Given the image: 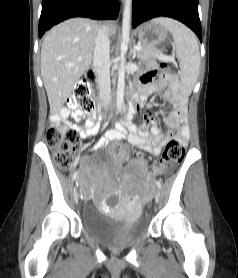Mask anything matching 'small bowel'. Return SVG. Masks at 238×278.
Here are the masks:
<instances>
[{
    "mask_svg": "<svg viewBox=\"0 0 238 278\" xmlns=\"http://www.w3.org/2000/svg\"><path fill=\"white\" fill-rule=\"evenodd\" d=\"M156 74L157 64L150 62L147 70L139 78L136 93L139 102L138 108L145 105L149 96L163 92V100L173 106L172 111L165 117V122L175 129V133L164 134L150 111L143 116V121L138 127L131 122L133 113L127 112L122 122L118 123L114 129L108 131L95 144L94 150L103 149L111 141L120 140H128L132 145L147 150L155 156L160 155L163 148L171 140H176L182 146H187L189 142V128L186 118L188 95L186 91L181 89L174 76L169 79L160 78L159 81H155ZM69 117H72L75 122L69 121ZM82 119V113L62 108L52 115L51 123L54 128L60 130L74 128L83 139L93 137L100 132V116L91 113L82 124H79ZM119 160L122 163H127L129 161L128 154ZM134 163L139 170H144L142 160H136Z\"/></svg>",
    "mask_w": 238,
    "mask_h": 278,
    "instance_id": "c3829d8e",
    "label": "small bowel"
}]
</instances>
